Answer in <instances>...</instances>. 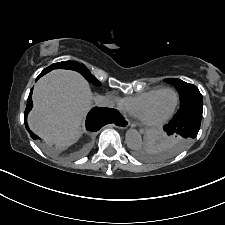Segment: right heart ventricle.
Here are the masks:
<instances>
[{
  "mask_svg": "<svg viewBox=\"0 0 225 225\" xmlns=\"http://www.w3.org/2000/svg\"><path fill=\"white\" fill-rule=\"evenodd\" d=\"M160 89L162 88L143 91L134 96L127 97L122 101V108L129 114L139 117L143 107Z\"/></svg>",
  "mask_w": 225,
  "mask_h": 225,
  "instance_id": "e07e8e85",
  "label": "right heart ventricle"
}]
</instances>
